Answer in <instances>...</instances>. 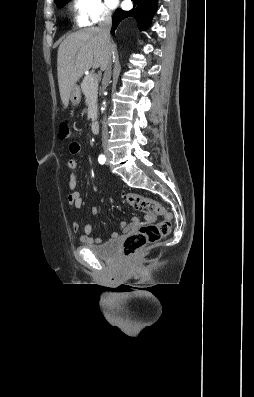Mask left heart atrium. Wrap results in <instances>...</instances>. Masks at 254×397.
Listing matches in <instances>:
<instances>
[{"label": "left heart atrium", "mask_w": 254, "mask_h": 397, "mask_svg": "<svg viewBox=\"0 0 254 397\" xmlns=\"http://www.w3.org/2000/svg\"><path fill=\"white\" fill-rule=\"evenodd\" d=\"M110 6L114 7L117 4V0H108Z\"/></svg>", "instance_id": "left-heart-atrium-1"}]
</instances>
